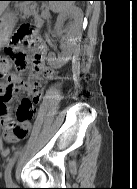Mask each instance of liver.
<instances>
[{"label":"liver","instance_id":"obj_1","mask_svg":"<svg viewBox=\"0 0 137 189\" xmlns=\"http://www.w3.org/2000/svg\"><path fill=\"white\" fill-rule=\"evenodd\" d=\"M8 5V1H0V15H2L3 11L7 8Z\"/></svg>","mask_w":137,"mask_h":189}]
</instances>
